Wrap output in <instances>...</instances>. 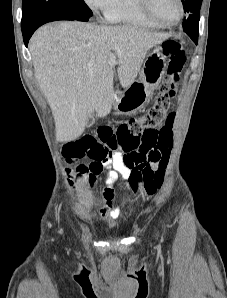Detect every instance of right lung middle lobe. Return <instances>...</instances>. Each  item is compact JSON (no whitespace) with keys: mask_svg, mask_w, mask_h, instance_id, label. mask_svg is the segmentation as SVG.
Wrapping results in <instances>:
<instances>
[{"mask_svg":"<svg viewBox=\"0 0 227 298\" xmlns=\"http://www.w3.org/2000/svg\"><path fill=\"white\" fill-rule=\"evenodd\" d=\"M92 16L84 0H23L21 28L23 32L41 22L88 21Z\"/></svg>","mask_w":227,"mask_h":298,"instance_id":"right-lung-middle-lobe-1","label":"right lung middle lobe"}]
</instances>
